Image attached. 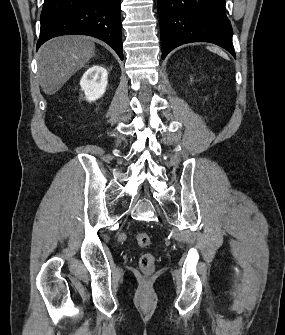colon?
Returning a JSON list of instances; mask_svg holds the SVG:
<instances>
[{
    "label": "colon",
    "instance_id": "1",
    "mask_svg": "<svg viewBox=\"0 0 285 335\" xmlns=\"http://www.w3.org/2000/svg\"><path fill=\"white\" fill-rule=\"evenodd\" d=\"M136 242L141 247H147L150 244V237L147 233H138ZM155 256L151 253L143 254L139 260V266L142 272L151 273L155 267Z\"/></svg>",
    "mask_w": 285,
    "mask_h": 335
}]
</instances>
